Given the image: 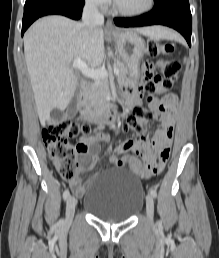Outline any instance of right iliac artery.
Instances as JSON below:
<instances>
[{
    "label": "right iliac artery",
    "instance_id": "1",
    "mask_svg": "<svg viewBox=\"0 0 219 258\" xmlns=\"http://www.w3.org/2000/svg\"><path fill=\"white\" fill-rule=\"evenodd\" d=\"M69 195H70L69 190H65V191L63 192V198H64V200H66V199L69 197Z\"/></svg>",
    "mask_w": 219,
    "mask_h": 258
}]
</instances>
